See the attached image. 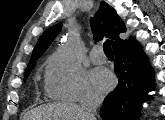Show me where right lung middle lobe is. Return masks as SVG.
<instances>
[{
    "instance_id": "right-lung-middle-lobe-1",
    "label": "right lung middle lobe",
    "mask_w": 165,
    "mask_h": 120,
    "mask_svg": "<svg viewBox=\"0 0 165 120\" xmlns=\"http://www.w3.org/2000/svg\"><path fill=\"white\" fill-rule=\"evenodd\" d=\"M36 63H33L32 65H30L29 67H27L26 69V73H25V79L27 78V76L29 75L30 71L34 68Z\"/></svg>"
}]
</instances>
